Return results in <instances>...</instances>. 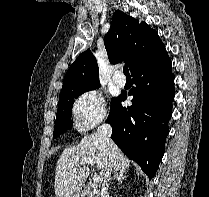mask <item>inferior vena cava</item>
Returning a JSON list of instances; mask_svg holds the SVG:
<instances>
[{
	"label": "inferior vena cava",
	"instance_id": "1",
	"mask_svg": "<svg viewBox=\"0 0 209 197\" xmlns=\"http://www.w3.org/2000/svg\"><path fill=\"white\" fill-rule=\"evenodd\" d=\"M97 134L103 139V141L107 144L109 148L112 147L113 142L111 140V134H112V127L109 124H102L97 129ZM113 170V165L109 164L105 175L104 180L102 184V190H101V197H108V182L110 180V175Z\"/></svg>",
	"mask_w": 209,
	"mask_h": 197
}]
</instances>
